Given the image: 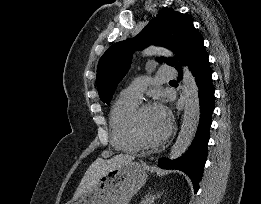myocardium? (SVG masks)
I'll use <instances>...</instances> for the list:
<instances>
[{"instance_id": "obj_1", "label": "myocardium", "mask_w": 261, "mask_h": 204, "mask_svg": "<svg viewBox=\"0 0 261 204\" xmlns=\"http://www.w3.org/2000/svg\"><path fill=\"white\" fill-rule=\"evenodd\" d=\"M156 107L154 103L151 102H145L140 105L134 110L130 117L129 121V132L131 137L134 139V141L140 146V148L144 149H150V148H156L162 144H164L171 136L173 126H172V121L170 117H168V125L166 132L162 137L155 141H148L142 134L141 129H140V120L142 117V114L144 113L145 110Z\"/></svg>"}]
</instances>
